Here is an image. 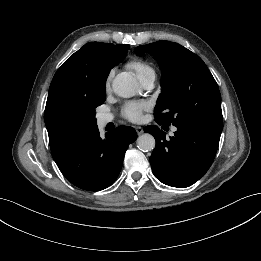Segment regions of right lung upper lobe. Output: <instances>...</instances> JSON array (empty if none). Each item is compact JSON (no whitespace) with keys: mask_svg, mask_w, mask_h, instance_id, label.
Instances as JSON below:
<instances>
[{"mask_svg":"<svg viewBox=\"0 0 261 261\" xmlns=\"http://www.w3.org/2000/svg\"><path fill=\"white\" fill-rule=\"evenodd\" d=\"M129 48L126 44L87 43L57 70L49 88L44 113L55 161L84 137L66 141L59 132L61 114L68 108L93 101L104 84L106 70L120 63Z\"/></svg>","mask_w":261,"mask_h":261,"instance_id":"obj_1","label":"right lung upper lobe"}]
</instances>
